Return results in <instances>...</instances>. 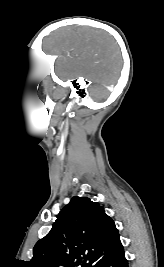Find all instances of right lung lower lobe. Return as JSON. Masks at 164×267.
Wrapping results in <instances>:
<instances>
[{
  "label": "right lung lower lobe",
  "instance_id": "obj_1",
  "mask_svg": "<svg viewBox=\"0 0 164 267\" xmlns=\"http://www.w3.org/2000/svg\"><path fill=\"white\" fill-rule=\"evenodd\" d=\"M94 267H128L123 248L106 255Z\"/></svg>",
  "mask_w": 164,
  "mask_h": 267
}]
</instances>
